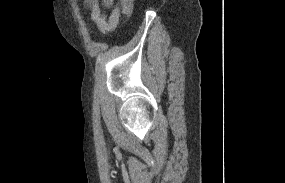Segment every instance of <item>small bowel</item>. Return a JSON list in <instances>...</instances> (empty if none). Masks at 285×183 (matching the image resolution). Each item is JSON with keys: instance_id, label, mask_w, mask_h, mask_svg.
I'll list each match as a JSON object with an SVG mask.
<instances>
[{"instance_id": "small-bowel-1", "label": "small bowel", "mask_w": 285, "mask_h": 183, "mask_svg": "<svg viewBox=\"0 0 285 183\" xmlns=\"http://www.w3.org/2000/svg\"><path fill=\"white\" fill-rule=\"evenodd\" d=\"M84 4L90 9V17L101 32H110L117 26L121 10L115 6L114 0H84ZM110 9L109 15L105 10Z\"/></svg>"}]
</instances>
